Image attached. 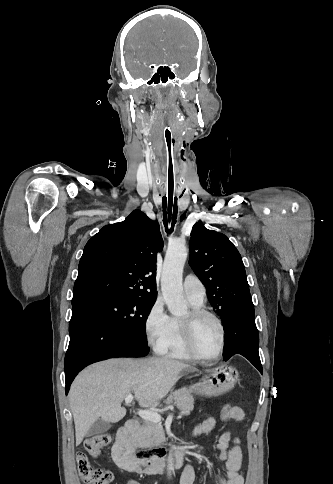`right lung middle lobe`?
Returning <instances> with one entry per match:
<instances>
[{
  "label": "right lung middle lobe",
  "mask_w": 333,
  "mask_h": 484,
  "mask_svg": "<svg viewBox=\"0 0 333 484\" xmlns=\"http://www.w3.org/2000/svg\"><path fill=\"white\" fill-rule=\"evenodd\" d=\"M79 302L94 308L115 327L147 346L145 325L155 298L94 293Z\"/></svg>",
  "instance_id": "obj_1"
}]
</instances>
